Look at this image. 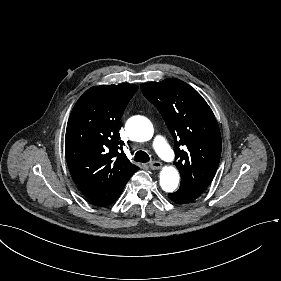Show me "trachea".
Instances as JSON below:
<instances>
[{
	"mask_svg": "<svg viewBox=\"0 0 281 281\" xmlns=\"http://www.w3.org/2000/svg\"><path fill=\"white\" fill-rule=\"evenodd\" d=\"M133 159H134V161L140 162V163H147L150 161L149 155L144 151L136 152Z\"/></svg>",
	"mask_w": 281,
	"mask_h": 281,
	"instance_id": "trachea-1",
	"label": "trachea"
}]
</instances>
